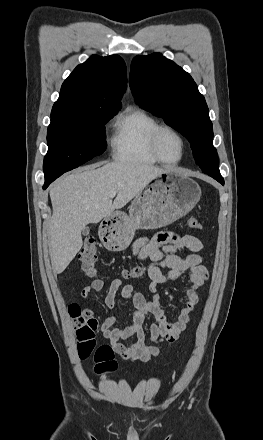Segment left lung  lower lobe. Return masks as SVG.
I'll return each mask as SVG.
<instances>
[{
    "label": "left lung lower lobe",
    "instance_id": "left-lung-lower-lobe-1",
    "mask_svg": "<svg viewBox=\"0 0 263 440\" xmlns=\"http://www.w3.org/2000/svg\"><path fill=\"white\" fill-rule=\"evenodd\" d=\"M211 177H213L215 180H217V181L220 182L222 185H224V179L222 178L221 175L211 176Z\"/></svg>",
    "mask_w": 263,
    "mask_h": 440
}]
</instances>
